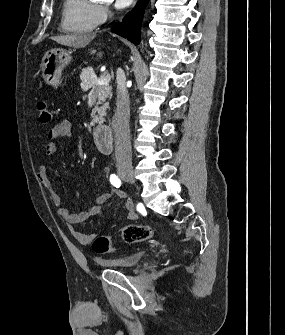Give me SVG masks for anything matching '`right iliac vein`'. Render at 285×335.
Returning a JSON list of instances; mask_svg holds the SVG:
<instances>
[{
	"mask_svg": "<svg viewBox=\"0 0 285 335\" xmlns=\"http://www.w3.org/2000/svg\"><path fill=\"white\" fill-rule=\"evenodd\" d=\"M120 175L123 179H125L130 184L134 185L136 183L133 171L129 168H123L120 172Z\"/></svg>",
	"mask_w": 285,
	"mask_h": 335,
	"instance_id": "right-iliac-vein-1",
	"label": "right iliac vein"
}]
</instances>
